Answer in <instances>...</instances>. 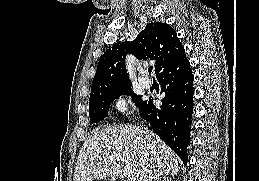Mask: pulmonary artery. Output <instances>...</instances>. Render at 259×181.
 <instances>
[{
  "label": "pulmonary artery",
  "instance_id": "1",
  "mask_svg": "<svg viewBox=\"0 0 259 181\" xmlns=\"http://www.w3.org/2000/svg\"><path fill=\"white\" fill-rule=\"evenodd\" d=\"M139 81H140V84H141L144 88H146V89L150 88L151 85H152L151 80H149V79H147V78H140Z\"/></svg>",
  "mask_w": 259,
  "mask_h": 181
}]
</instances>
